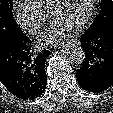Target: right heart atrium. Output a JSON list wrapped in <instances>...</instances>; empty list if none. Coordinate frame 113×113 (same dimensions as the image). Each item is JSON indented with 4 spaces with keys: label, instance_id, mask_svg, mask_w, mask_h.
Wrapping results in <instances>:
<instances>
[{
    "label": "right heart atrium",
    "instance_id": "obj_1",
    "mask_svg": "<svg viewBox=\"0 0 113 113\" xmlns=\"http://www.w3.org/2000/svg\"><path fill=\"white\" fill-rule=\"evenodd\" d=\"M12 11L19 26L32 36L38 35L42 31L47 20L45 14L23 1H15Z\"/></svg>",
    "mask_w": 113,
    "mask_h": 113
}]
</instances>
